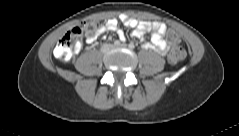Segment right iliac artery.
I'll return each mask as SVG.
<instances>
[{
	"mask_svg": "<svg viewBox=\"0 0 239 136\" xmlns=\"http://www.w3.org/2000/svg\"><path fill=\"white\" fill-rule=\"evenodd\" d=\"M120 44V42L118 40L114 41V45L118 46Z\"/></svg>",
	"mask_w": 239,
	"mask_h": 136,
	"instance_id": "82829eb1",
	"label": "right iliac artery"
}]
</instances>
